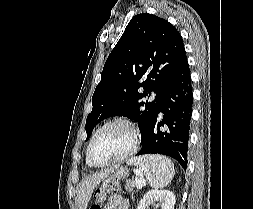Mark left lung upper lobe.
<instances>
[{
  "label": "left lung upper lobe",
  "instance_id": "1",
  "mask_svg": "<svg viewBox=\"0 0 253 209\" xmlns=\"http://www.w3.org/2000/svg\"><path fill=\"white\" fill-rule=\"evenodd\" d=\"M185 59L182 37L171 23L148 13L135 15L103 67L86 120V140L105 118L126 116L138 122L143 142L166 86Z\"/></svg>",
  "mask_w": 253,
  "mask_h": 209
}]
</instances>
